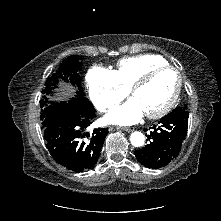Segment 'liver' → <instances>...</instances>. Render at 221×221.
<instances>
[{
	"label": "liver",
	"instance_id": "6515ba94",
	"mask_svg": "<svg viewBox=\"0 0 221 221\" xmlns=\"http://www.w3.org/2000/svg\"><path fill=\"white\" fill-rule=\"evenodd\" d=\"M66 89H67V91H72V89H71V88H69V87H67Z\"/></svg>",
	"mask_w": 221,
	"mask_h": 221
}]
</instances>
